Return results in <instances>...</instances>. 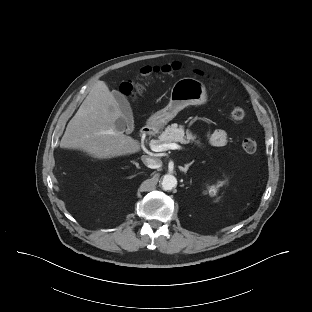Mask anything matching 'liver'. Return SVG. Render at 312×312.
I'll return each instance as SVG.
<instances>
[{
  "instance_id": "6515ba94",
  "label": "liver",
  "mask_w": 312,
  "mask_h": 312,
  "mask_svg": "<svg viewBox=\"0 0 312 312\" xmlns=\"http://www.w3.org/2000/svg\"><path fill=\"white\" fill-rule=\"evenodd\" d=\"M119 118L124 115L113 92L98 81L69 121L60 147L77 149L100 160L139 152V142L117 128Z\"/></svg>"
}]
</instances>
